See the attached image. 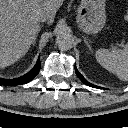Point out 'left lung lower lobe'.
Returning a JSON list of instances; mask_svg holds the SVG:
<instances>
[{
	"mask_svg": "<svg viewBox=\"0 0 128 128\" xmlns=\"http://www.w3.org/2000/svg\"><path fill=\"white\" fill-rule=\"evenodd\" d=\"M75 72H76L77 76L79 77V79H80L84 84H86V85H88V86H90V87H94V88L97 87V86H95V85L89 83V82L79 73V71L77 70L76 66H75Z\"/></svg>",
	"mask_w": 128,
	"mask_h": 128,
	"instance_id": "obj_1",
	"label": "left lung lower lobe"
}]
</instances>
